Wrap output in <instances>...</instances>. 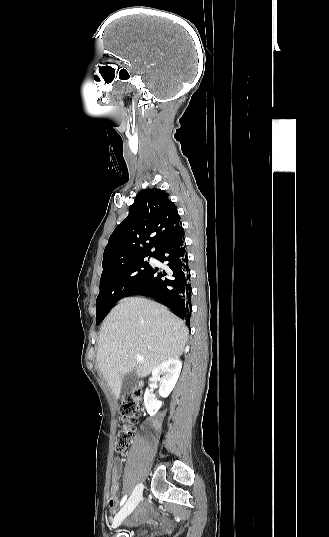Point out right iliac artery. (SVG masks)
I'll return each mask as SVG.
<instances>
[{"instance_id":"right-iliac-artery-1","label":"right iliac artery","mask_w":329,"mask_h":537,"mask_svg":"<svg viewBox=\"0 0 329 537\" xmlns=\"http://www.w3.org/2000/svg\"><path fill=\"white\" fill-rule=\"evenodd\" d=\"M126 499H127V495H125V496L121 499L120 507L126 502Z\"/></svg>"}]
</instances>
